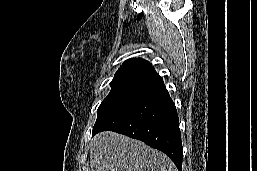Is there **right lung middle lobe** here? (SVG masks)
<instances>
[{
    "label": "right lung middle lobe",
    "mask_w": 257,
    "mask_h": 171,
    "mask_svg": "<svg viewBox=\"0 0 257 171\" xmlns=\"http://www.w3.org/2000/svg\"><path fill=\"white\" fill-rule=\"evenodd\" d=\"M147 86H141L134 89H123L112 87L110 93L102 101L98 108L97 120L93 127V130L97 129L102 125L107 119L114 115L119 109L133 100L135 97L139 96L145 92Z\"/></svg>",
    "instance_id": "1"
}]
</instances>
